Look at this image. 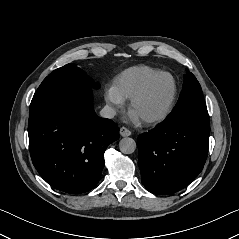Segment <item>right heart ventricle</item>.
I'll return each mask as SVG.
<instances>
[{"label":"right heart ventricle","instance_id":"1","mask_svg":"<svg viewBox=\"0 0 239 239\" xmlns=\"http://www.w3.org/2000/svg\"><path fill=\"white\" fill-rule=\"evenodd\" d=\"M159 71L148 66L131 67L114 81V87L123 99H129L141 86Z\"/></svg>","mask_w":239,"mask_h":239}]
</instances>
